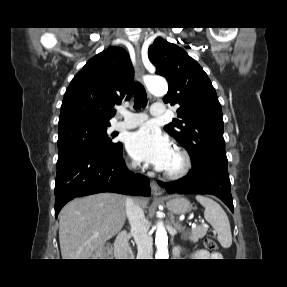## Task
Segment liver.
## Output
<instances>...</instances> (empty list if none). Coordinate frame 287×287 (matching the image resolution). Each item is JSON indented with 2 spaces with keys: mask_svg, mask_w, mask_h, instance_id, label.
<instances>
[{
  "mask_svg": "<svg viewBox=\"0 0 287 287\" xmlns=\"http://www.w3.org/2000/svg\"><path fill=\"white\" fill-rule=\"evenodd\" d=\"M125 197L100 193L69 202L60 212L59 242L62 259H89L118 234L126 220ZM146 207V200H136Z\"/></svg>",
  "mask_w": 287,
  "mask_h": 287,
  "instance_id": "obj_1",
  "label": "liver"
}]
</instances>
